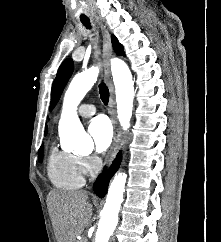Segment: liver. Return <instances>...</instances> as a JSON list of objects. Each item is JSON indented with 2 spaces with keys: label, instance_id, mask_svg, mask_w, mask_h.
I'll return each instance as SVG.
<instances>
[{
  "label": "liver",
  "instance_id": "6515ba94",
  "mask_svg": "<svg viewBox=\"0 0 221 242\" xmlns=\"http://www.w3.org/2000/svg\"><path fill=\"white\" fill-rule=\"evenodd\" d=\"M57 242H76L92 216L86 191H51L47 197Z\"/></svg>",
  "mask_w": 221,
  "mask_h": 242
}]
</instances>
